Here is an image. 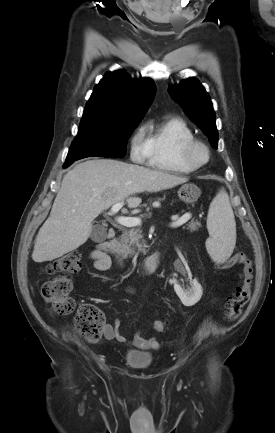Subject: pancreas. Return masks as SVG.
Listing matches in <instances>:
<instances>
[{"label": "pancreas", "mask_w": 275, "mask_h": 433, "mask_svg": "<svg viewBox=\"0 0 275 433\" xmlns=\"http://www.w3.org/2000/svg\"><path fill=\"white\" fill-rule=\"evenodd\" d=\"M186 226L190 232H194L201 227V223L191 220ZM141 238L142 236L140 234V229L123 228L122 235L120 236L119 240L115 242L116 252L119 253L123 258L136 255L135 249L136 247L140 246L138 243Z\"/></svg>", "instance_id": "pancreas-1"}]
</instances>
